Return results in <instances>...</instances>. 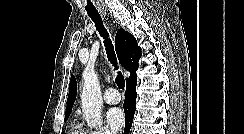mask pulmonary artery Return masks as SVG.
I'll return each instance as SVG.
<instances>
[{"instance_id": "pulmonary-artery-1", "label": "pulmonary artery", "mask_w": 244, "mask_h": 134, "mask_svg": "<svg viewBox=\"0 0 244 134\" xmlns=\"http://www.w3.org/2000/svg\"><path fill=\"white\" fill-rule=\"evenodd\" d=\"M103 99L108 104H117L120 102V94L115 88H108L103 95Z\"/></svg>"}]
</instances>
